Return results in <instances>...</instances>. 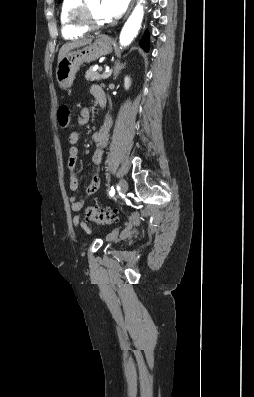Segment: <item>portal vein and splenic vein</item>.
<instances>
[{
    "label": "portal vein and splenic vein",
    "mask_w": 254,
    "mask_h": 397,
    "mask_svg": "<svg viewBox=\"0 0 254 397\" xmlns=\"http://www.w3.org/2000/svg\"><path fill=\"white\" fill-rule=\"evenodd\" d=\"M111 75V70H106L105 73L101 76V78L105 79Z\"/></svg>",
    "instance_id": "portal-vein-and-splenic-vein-1"
}]
</instances>
